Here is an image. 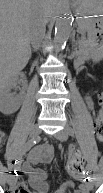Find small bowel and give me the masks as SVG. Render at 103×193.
<instances>
[{"label": "small bowel", "mask_w": 103, "mask_h": 193, "mask_svg": "<svg viewBox=\"0 0 103 193\" xmlns=\"http://www.w3.org/2000/svg\"><path fill=\"white\" fill-rule=\"evenodd\" d=\"M85 103L89 109L93 108V101L90 97H87L85 99ZM52 157L53 149L49 145H43L31 151L26 162L23 163L21 167L22 172L26 175L30 191L27 189V185L25 183H21L13 187V193H24L26 190L28 191V193H48L49 185L46 182L48 173L43 169L34 168V164L48 163L52 160ZM12 177H14V180L12 181L14 182L15 176ZM76 179L81 181V184L79 186H76L72 182H68L62 185V187H60L59 189L53 191V193H68L69 191H71L72 193H88V173L84 175H78L76 176Z\"/></svg>", "instance_id": "1"}]
</instances>
